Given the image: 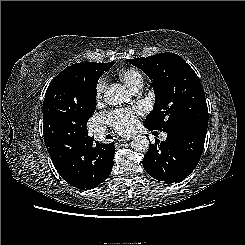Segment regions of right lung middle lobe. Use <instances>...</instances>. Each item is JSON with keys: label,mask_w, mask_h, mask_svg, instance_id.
Wrapping results in <instances>:
<instances>
[{"label": "right lung middle lobe", "mask_w": 245, "mask_h": 245, "mask_svg": "<svg viewBox=\"0 0 245 245\" xmlns=\"http://www.w3.org/2000/svg\"><path fill=\"white\" fill-rule=\"evenodd\" d=\"M113 62H110V67L113 65ZM108 69H103V70H92L88 76V80H87V93L89 96V100H90V109L88 112V118H90V116L94 113L95 111V107H96V87H97V82L99 77L104 73V71H107ZM87 120L84 122V124L82 125L81 129H80V135H88V131H87V126L86 123L88 121Z\"/></svg>", "instance_id": "1"}]
</instances>
